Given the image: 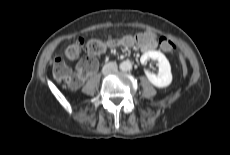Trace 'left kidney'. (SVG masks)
Segmentation results:
<instances>
[{"label":"left kidney","instance_id":"left-kidney-1","mask_svg":"<svg viewBox=\"0 0 230 155\" xmlns=\"http://www.w3.org/2000/svg\"><path fill=\"white\" fill-rule=\"evenodd\" d=\"M149 59L158 61L159 72L155 75L146 71L148 80L158 88L169 86L172 82V73L168 59L160 51H147L140 58L141 64H146Z\"/></svg>","mask_w":230,"mask_h":155}]
</instances>
